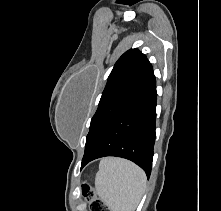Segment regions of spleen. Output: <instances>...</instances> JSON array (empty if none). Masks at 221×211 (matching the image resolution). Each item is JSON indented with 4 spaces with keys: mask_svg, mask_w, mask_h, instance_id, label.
Wrapping results in <instances>:
<instances>
[{
    "mask_svg": "<svg viewBox=\"0 0 221 211\" xmlns=\"http://www.w3.org/2000/svg\"><path fill=\"white\" fill-rule=\"evenodd\" d=\"M146 187L144 171L120 158H104L99 164L95 189L111 211H134Z\"/></svg>",
    "mask_w": 221,
    "mask_h": 211,
    "instance_id": "3e777b00",
    "label": "spleen"
}]
</instances>
